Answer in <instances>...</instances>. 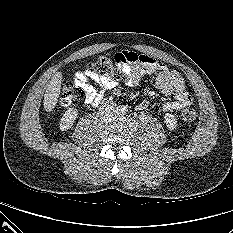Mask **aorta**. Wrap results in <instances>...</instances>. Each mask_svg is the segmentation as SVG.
<instances>
[{"label":"aorta","mask_w":233,"mask_h":233,"mask_svg":"<svg viewBox=\"0 0 233 233\" xmlns=\"http://www.w3.org/2000/svg\"><path fill=\"white\" fill-rule=\"evenodd\" d=\"M125 112H126V109H125V107H123V106H118V107L116 108V113H117L118 115H124Z\"/></svg>","instance_id":"aorta-1"}]
</instances>
